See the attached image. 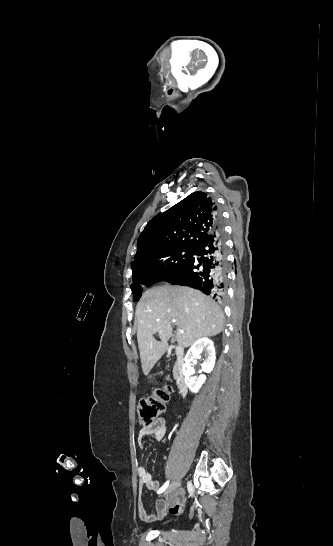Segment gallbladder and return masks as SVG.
<instances>
[{
	"instance_id": "1",
	"label": "gallbladder",
	"mask_w": 333,
	"mask_h": 546,
	"mask_svg": "<svg viewBox=\"0 0 333 546\" xmlns=\"http://www.w3.org/2000/svg\"><path fill=\"white\" fill-rule=\"evenodd\" d=\"M172 342H174V337H173V339H172Z\"/></svg>"
}]
</instances>
